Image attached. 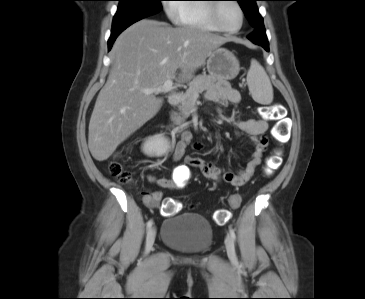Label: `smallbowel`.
Returning a JSON list of instances; mask_svg holds the SVG:
<instances>
[{
    "mask_svg": "<svg viewBox=\"0 0 365 299\" xmlns=\"http://www.w3.org/2000/svg\"><path fill=\"white\" fill-rule=\"evenodd\" d=\"M207 100L213 104H217L221 107H225L229 103H238L241 99L238 90L231 88L225 82H219L210 88L207 92ZM239 132L248 134L254 145V151L251 159L245 166L238 172H231L223 170L219 165L208 162L202 158L197 157H185V152L188 144L191 141V133L187 129H183L180 132V138L177 142L174 152L173 160L180 161L184 159L185 164L176 167L174 174L171 178H156L150 177L152 182H155L162 188L176 189L181 184V177L184 176L191 167L199 169L202 176L211 181H224L234 187H242L248 181H250L255 175L256 168L261 164L263 155L266 151L268 142L265 137V133L268 130V122L263 119H246L238 120L235 123ZM238 196V195H233ZM232 196V197H233ZM231 197V198H232ZM146 205L149 208H157L162 199V193L159 191L147 194Z\"/></svg>",
    "mask_w": 365,
    "mask_h": 299,
    "instance_id": "c3829d8e",
    "label": "small bowel"
}]
</instances>
